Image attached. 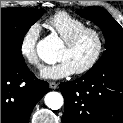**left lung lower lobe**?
<instances>
[{
  "label": "left lung lower lobe",
  "instance_id": "0a47b994",
  "mask_svg": "<svg viewBox=\"0 0 123 123\" xmlns=\"http://www.w3.org/2000/svg\"><path fill=\"white\" fill-rule=\"evenodd\" d=\"M63 123H123V58L92 67L77 80L60 84Z\"/></svg>",
  "mask_w": 123,
  "mask_h": 123
}]
</instances>
